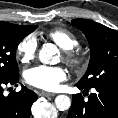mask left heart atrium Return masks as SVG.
<instances>
[{"instance_id":"1","label":"left heart atrium","mask_w":118,"mask_h":118,"mask_svg":"<svg viewBox=\"0 0 118 118\" xmlns=\"http://www.w3.org/2000/svg\"><path fill=\"white\" fill-rule=\"evenodd\" d=\"M66 79L67 73L60 66L38 65L25 72V80L28 84L46 91L58 90Z\"/></svg>"}]
</instances>
